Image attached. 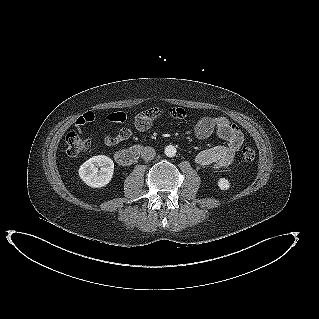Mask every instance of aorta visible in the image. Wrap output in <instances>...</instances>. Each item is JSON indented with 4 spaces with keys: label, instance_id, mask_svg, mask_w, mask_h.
Here are the masks:
<instances>
[{
    "label": "aorta",
    "instance_id": "aorta-1",
    "mask_svg": "<svg viewBox=\"0 0 319 319\" xmlns=\"http://www.w3.org/2000/svg\"><path fill=\"white\" fill-rule=\"evenodd\" d=\"M165 155L167 157H174L176 155V148L172 145H169L165 148Z\"/></svg>",
    "mask_w": 319,
    "mask_h": 319
}]
</instances>
